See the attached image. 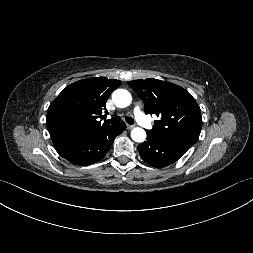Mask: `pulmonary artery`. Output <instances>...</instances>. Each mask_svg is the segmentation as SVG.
<instances>
[{"mask_svg": "<svg viewBox=\"0 0 253 253\" xmlns=\"http://www.w3.org/2000/svg\"><path fill=\"white\" fill-rule=\"evenodd\" d=\"M134 116L139 124L147 129H151L153 127L152 122L148 119V117L141 111L139 106L134 107Z\"/></svg>", "mask_w": 253, "mask_h": 253, "instance_id": "e3ab8cb5", "label": "pulmonary artery"}]
</instances>
